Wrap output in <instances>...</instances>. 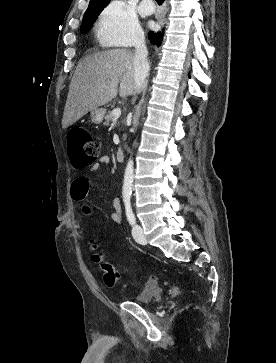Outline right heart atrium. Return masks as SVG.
<instances>
[{"instance_id":"1","label":"right heart atrium","mask_w":276,"mask_h":363,"mask_svg":"<svg viewBox=\"0 0 276 363\" xmlns=\"http://www.w3.org/2000/svg\"><path fill=\"white\" fill-rule=\"evenodd\" d=\"M97 35L104 44L131 46L141 41L142 30L128 4L124 0H113L98 18Z\"/></svg>"}]
</instances>
